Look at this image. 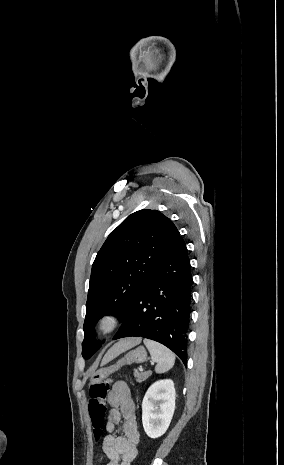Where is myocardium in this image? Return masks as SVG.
<instances>
[{"instance_id": "1", "label": "myocardium", "mask_w": 284, "mask_h": 465, "mask_svg": "<svg viewBox=\"0 0 284 465\" xmlns=\"http://www.w3.org/2000/svg\"><path fill=\"white\" fill-rule=\"evenodd\" d=\"M121 325V317L116 313H105L97 321L96 328L100 335L108 336Z\"/></svg>"}]
</instances>
